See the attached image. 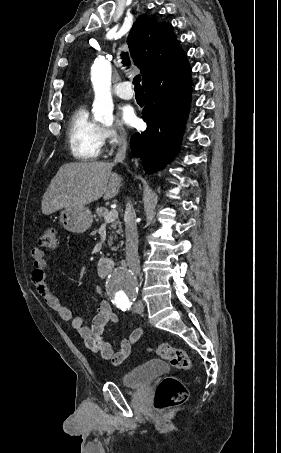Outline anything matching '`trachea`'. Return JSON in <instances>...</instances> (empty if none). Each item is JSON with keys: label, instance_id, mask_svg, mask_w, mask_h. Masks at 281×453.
<instances>
[{"label": "trachea", "instance_id": "obj_1", "mask_svg": "<svg viewBox=\"0 0 281 453\" xmlns=\"http://www.w3.org/2000/svg\"><path fill=\"white\" fill-rule=\"evenodd\" d=\"M123 63L124 65H129V58L126 56L125 53H122ZM141 77L140 75H136L133 78V83L135 85V94L137 98L144 97V91L140 85Z\"/></svg>", "mask_w": 281, "mask_h": 453}]
</instances>
